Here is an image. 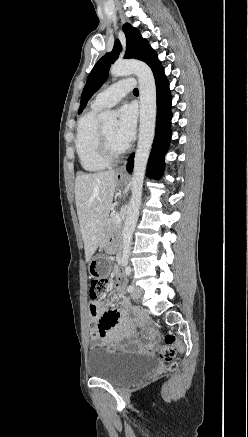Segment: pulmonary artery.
I'll return each mask as SVG.
<instances>
[{"mask_svg":"<svg viewBox=\"0 0 248 437\" xmlns=\"http://www.w3.org/2000/svg\"><path fill=\"white\" fill-rule=\"evenodd\" d=\"M134 85L133 78L120 80L98 93L92 106L99 109L111 107L127 95L134 88Z\"/></svg>","mask_w":248,"mask_h":437,"instance_id":"obj_1","label":"pulmonary artery"}]
</instances>
